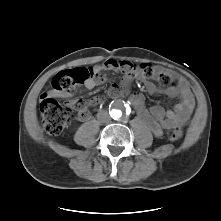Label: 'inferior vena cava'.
<instances>
[{
	"instance_id": "1",
	"label": "inferior vena cava",
	"mask_w": 221,
	"mask_h": 221,
	"mask_svg": "<svg viewBox=\"0 0 221 221\" xmlns=\"http://www.w3.org/2000/svg\"><path fill=\"white\" fill-rule=\"evenodd\" d=\"M97 118L100 122L108 123L111 118L106 111H101L97 114Z\"/></svg>"
}]
</instances>
